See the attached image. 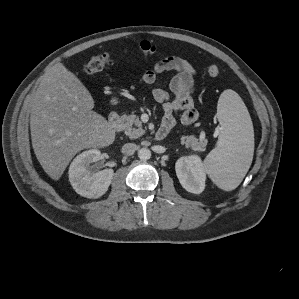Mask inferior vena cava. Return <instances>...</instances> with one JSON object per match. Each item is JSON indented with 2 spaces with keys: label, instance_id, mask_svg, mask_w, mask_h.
<instances>
[{
  "label": "inferior vena cava",
  "instance_id": "1",
  "mask_svg": "<svg viewBox=\"0 0 299 299\" xmlns=\"http://www.w3.org/2000/svg\"><path fill=\"white\" fill-rule=\"evenodd\" d=\"M137 150V145L134 143H126L122 146V153L125 155H133Z\"/></svg>",
  "mask_w": 299,
  "mask_h": 299
}]
</instances>
